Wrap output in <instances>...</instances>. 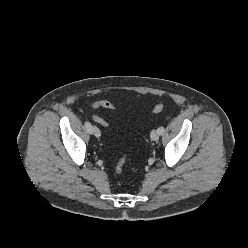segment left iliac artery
<instances>
[{
	"instance_id": "obj_1",
	"label": "left iliac artery",
	"mask_w": 248,
	"mask_h": 248,
	"mask_svg": "<svg viewBox=\"0 0 248 248\" xmlns=\"http://www.w3.org/2000/svg\"><path fill=\"white\" fill-rule=\"evenodd\" d=\"M157 130H158V132H159L160 135L163 134L164 131H165V129H164L163 126L159 127Z\"/></svg>"
}]
</instances>
